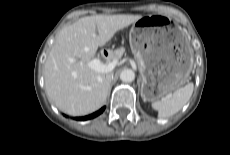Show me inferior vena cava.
Returning a JSON list of instances; mask_svg holds the SVG:
<instances>
[{
    "label": "inferior vena cava",
    "mask_w": 230,
    "mask_h": 155,
    "mask_svg": "<svg viewBox=\"0 0 230 155\" xmlns=\"http://www.w3.org/2000/svg\"><path fill=\"white\" fill-rule=\"evenodd\" d=\"M112 78H113V74L112 73H108L106 75V79H107L108 82H110L112 80Z\"/></svg>",
    "instance_id": "602c4592"
}]
</instances>
